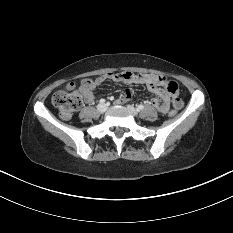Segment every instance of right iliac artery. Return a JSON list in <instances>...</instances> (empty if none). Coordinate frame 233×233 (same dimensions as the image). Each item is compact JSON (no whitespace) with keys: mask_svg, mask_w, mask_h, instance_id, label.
Instances as JSON below:
<instances>
[{"mask_svg":"<svg viewBox=\"0 0 233 233\" xmlns=\"http://www.w3.org/2000/svg\"><path fill=\"white\" fill-rule=\"evenodd\" d=\"M101 104L105 103V99H100L99 101Z\"/></svg>","mask_w":233,"mask_h":233,"instance_id":"82829eb1","label":"right iliac artery"}]
</instances>
